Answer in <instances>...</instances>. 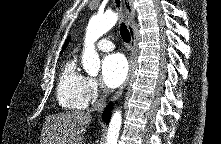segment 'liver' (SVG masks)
<instances>
[{"label": "liver", "mask_w": 221, "mask_h": 144, "mask_svg": "<svg viewBox=\"0 0 221 144\" xmlns=\"http://www.w3.org/2000/svg\"><path fill=\"white\" fill-rule=\"evenodd\" d=\"M90 122L89 112L66 111L49 115L42 127L41 144H82Z\"/></svg>", "instance_id": "1"}]
</instances>
